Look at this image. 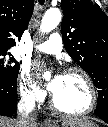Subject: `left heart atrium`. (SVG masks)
Returning <instances> with one entry per match:
<instances>
[{"label":"left heart atrium","mask_w":108,"mask_h":127,"mask_svg":"<svg viewBox=\"0 0 108 127\" xmlns=\"http://www.w3.org/2000/svg\"><path fill=\"white\" fill-rule=\"evenodd\" d=\"M61 78V74L56 73L53 78L51 79V81L48 83V88L49 90H51L52 92L56 89L59 80Z\"/></svg>","instance_id":"1"}]
</instances>
